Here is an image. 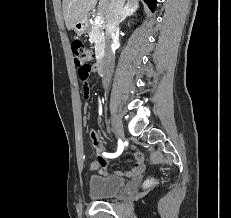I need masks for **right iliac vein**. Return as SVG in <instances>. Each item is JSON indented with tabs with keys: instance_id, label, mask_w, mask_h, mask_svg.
<instances>
[{
	"instance_id": "obj_1",
	"label": "right iliac vein",
	"mask_w": 231,
	"mask_h": 218,
	"mask_svg": "<svg viewBox=\"0 0 231 218\" xmlns=\"http://www.w3.org/2000/svg\"><path fill=\"white\" fill-rule=\"evenodd\" d=\"M113 125L115 127L117 136L122 139L124 137V129L121 120L117 117H113Z\"/></svg>"
}]
</instances>
